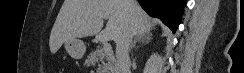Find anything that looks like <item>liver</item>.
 I'll return each mask as SVG.
<instances>
[{
	"mask_svg": "<svg viewBox=\"0 0 244 73\" xmlns=\"http://www.w3.org/2000/svg\"><path fill=\"white\" fill-rule=\"evenodd\" d=\"M127 0H65L51 31L49 47L55 54L69 40L96 35L99 41L116 42L121 34L128 11ZM132 4L134 35L149 34L155 20L140 5ZM108 19L102 30L104 20Z\"/></svg>",
	"mask_w": 244,
	"mask_h": 73,
	"instance_id": "liver-1",
	"label": "liver"
}]
</instances>
